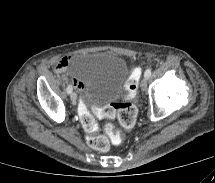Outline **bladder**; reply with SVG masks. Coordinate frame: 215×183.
Returning a JSON list of instances; mask_svg holds the SVG:
<instances>
[{"instance_id":"1","label":"bladder","mask_w":215,"mask_h":183,"mask_svg":"<svg viewBox=\"0 0 215 183\" xmlns=\"http://www.w3.org/2000/svg\"><path fill=\"white\" fill-rule=\"evenodd\" d=\"M69 71L84 84L85 103L103 104L129 97V68L126 60L103 51L82 52L72 57Z\"/></svg>"}]
</instances>
